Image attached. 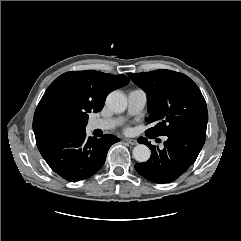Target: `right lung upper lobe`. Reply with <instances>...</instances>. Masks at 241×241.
Here are the masks:
<instances>
[{
    "instance_id": "obj_1",
    "label": "right lung upper lobe",
    "mask_w": 241,
    "mask_h": 241,
    "mask_svg": "<svg viewBox=\"0 0 241 241\" xmlns=\"http://www.w3.org/2000/svg\"><path fill=\"white\" fill-rule=\"evenodd\" d=\"M125 75L70 71L45 91L33 118L35 137L64 129H83L90 112L102 110L107 95L129 83Z\"/></svg>"
}]
</instances>
